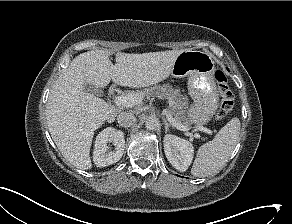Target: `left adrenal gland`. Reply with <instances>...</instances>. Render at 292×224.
Returning a JSON list of instances; mask_svg holds the SVG:
<instances>
[{"instance_id": "a2214340", "label": "left adrenal gland", "mask_w": 292, "mask_h": 224, "mask_svg": "<svg viewBox=\"0 0 292 224\" xmlns=\"http://www.w3.org/2000/svg\"><path fill=\"white\" fill-rule=\"evenodd\" d=\"M165 125V133H167L169 127H173L170 123L167 122L166 119H163Z\"/></svg>"}]
</instances>
